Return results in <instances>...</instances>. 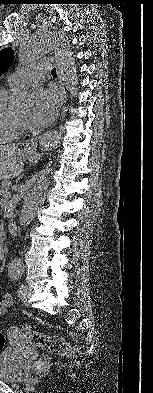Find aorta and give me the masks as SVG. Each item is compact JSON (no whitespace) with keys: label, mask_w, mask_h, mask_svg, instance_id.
Returning <instances> with one entry per match:
<instances>
[{"label":"aorta","mask_w":153,"mask_h":393,"mask_svg":"<svg viewBox=\"0 0 153 393\" xmlns=\"http://www.w3.org/2000/svg\"><path fill=\"white\" fill-rule=\"evenodd\" d=\"M53 53L60 79L65 83L72 95L78 93V75L75 58L69 43L57 32L50 30L39 31L31 34L23 42L19 50L21 63L26 64L45 57ZM31 95L25 90L13 91L9 98L8 107L14 112L26 110L31 107ZM61 135L56 132H48L40 140V145L44 149L53 148L59 145ZM46 179L40 177L31 192L27 195L19 217L20 224L27 226L36 216L42 205L46 193ZM22 272L20 260L10 261V274L18 276Z\"/></svg>","instance_id":"obj_1"}]
</instances>
